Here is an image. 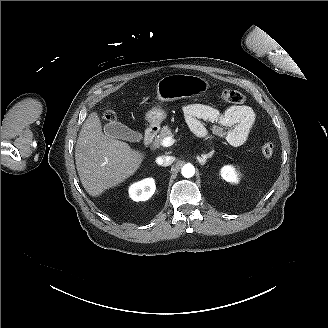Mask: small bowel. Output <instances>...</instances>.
<instances>
[{
	"label": "small bowel",
	"mask_w": 328,
	"mask_h": 328,
	"mask_svg": "<svg viewBox=\"0 0 328 328\" xmlns=\"http://www.w3.org/2000/svg\"><path fill=\"white\" fill-rule=\"evenodd\" d=\"M186 123L197 137L206 135L203 121L214 124L213 131L232 146L246 142L255 121L253 109L247 105H234L224 112L202 103H191L183 107Z\"/></svg>",
	"instance_id": "c3829d8e"
}]
</instances>
